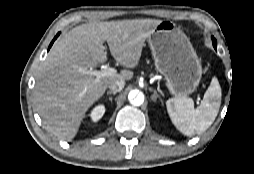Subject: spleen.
Here are the masks:
<instances>
[{
  "label": "spleen",
  "mask_w": 254,
  "mask_h": 174,
  "mask_svg": "<svg viewBox=\"0 0 254 174\" xmlns=\"http://www.w3.org/2000/svg\"><path fill=\"white\" fill-rule=\"evenodd\" d=\"M221 96L219 82L213 78L200 106L194 108L191 98L175 97L167 101V111L172 123L182 134H200L215 121L221 105Z\"/></svg>",
  "instance_id": "3e777b00"
}]
</instances>
